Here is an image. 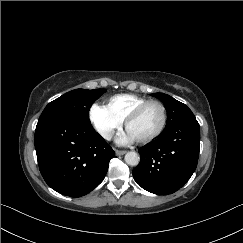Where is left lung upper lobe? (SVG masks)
<instances>
[{
    "instance_id": "5c2ea615",
    "label": "left lung upper lobe",
    "mask_w": 243,
    "mask_h": 243,
    "mask_svg": "<svg viewBox=\"0 0 243 243\" xmlns=\"http://www.w3.org/2000/svg\"><path fill=\"white\" fill-rule=\"evenodd\" d=\"M151 95L161 99L167 111V123L164 130L176 125L188 116H193L192 111L185 104L173 97L163 93H153Z\"/></svg>"
}]
</instances>
